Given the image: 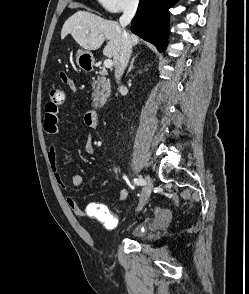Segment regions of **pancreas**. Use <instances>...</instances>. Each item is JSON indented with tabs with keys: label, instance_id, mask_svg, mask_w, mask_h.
Returning a JSON list of instances; mask_svg holds the SVG:
<instances>
[{
	"label": "pancreas",
	"instance_id": "1",
	"mask_svg": "<svg viewBox=\"0 0 249 294\" xmlns=\"http://www.w3.org/2000/svg\"><path fill=\"white\" fill-rule=\"evenodd\" d=\"M97 80L93 81V103L95 107H98L99 104L103 105L107 98L110 96V81L106 78L108 72L105 69H102L99 72Z\"/></svg>",
	"mask_w": 249,
	"mask_h": 294
}]
</instances>
